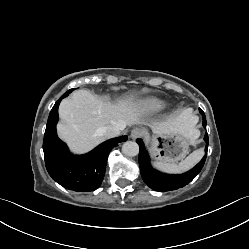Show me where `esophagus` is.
I'll return each instance as SVG.
<instances>
[{
	"mask_svg": "<svg viewBox=\"0 0 249 249\" xmlns=\"http://www.w3.org/2000/svg\"><path fill=\"white\" fill-rule=\"evenodd\" d=\"M143 134H144V130L136 127L131 131L130 138L135 140L137 138H141L143 136Z\"/></svg>",
	"mask_w": 249,
	"mask_h": 249,
	"instance_id": "esophagus-1",
	"label": "esophagus"
}]
</instances>
